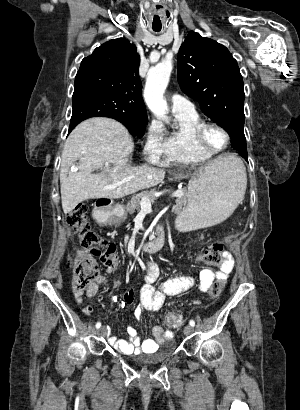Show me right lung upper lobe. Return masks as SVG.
<instances>
[{
	"label": "right lung upper lobe",
	"mask_w": 300,
	"mask_h": 410,
	"mask_svg": "<svg viewBox=\"0 0 300 410\" xmlns=\"http://www.w3.org/2000/svg\"><path fill=\"white\" fill-rule=\"evenodd\" d=\"M139 63L136 47L128 40H110L82 60L75 86H93L102 90L111 98L113 113L118 116L147 119L141 97Z\"/></svg>",
	"instance_id": "right-lung-upper-lobe-1"
}]
</instances>
